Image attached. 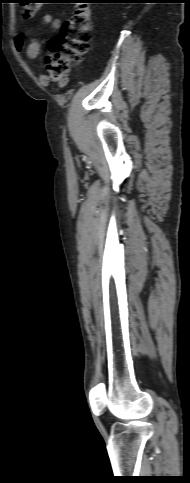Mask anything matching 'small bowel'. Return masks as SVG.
<instances>
[{"label": "small bowel", "instance_id": "obj_1", "mask_svg": "<svg viewBox=\"0 0 190 483\" xmlns=\"http://www.w3.org/2000/svg\"><path fill=\"white\" fill-rule=\"evenodd\" d=\"M42 22L44 24H49L53 31H58L61 27V21L59 19H53L52 16L48 13L42 16ZM14 43L16 49L20 50L24 44V38L21 35H18L16 36ZM39 53V42L35 40H29L26 42V55L29 59L37 58ZM38 79L41 84H47L49 82V77L46 74L40 75Z\"/></svg>", "mask_w": 190, "mask_h": 483}]
</instances>
